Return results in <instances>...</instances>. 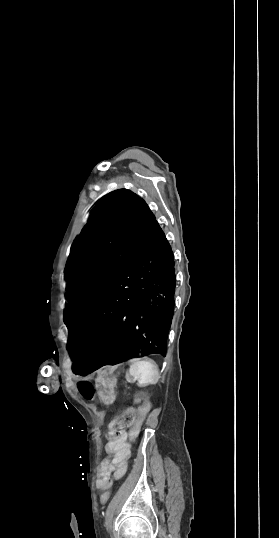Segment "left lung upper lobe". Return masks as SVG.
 Masks as SVG:
<instances>
[{
	"label": "left lung upper lobe",
	"instance_id": "left-lung-upper-lobe-1",
	"mask_svg": "<svg viewBox=\"0 0 279 538\" xmlns=\"http://www.w3.org/2000/svg\"><path fill=\"white\" fill-rule=\"evenodd\" d=\"M156 219L143 199L120 189L101 198L71 249L64 321L81 325L139 247Z\"/></svg>",
	"mask_w": 279,
	"mask_h": 538
}]
</instances>
